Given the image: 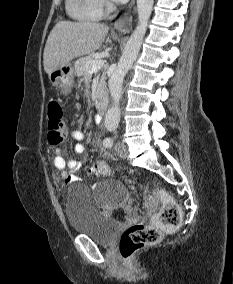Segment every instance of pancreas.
Instances as JSON below:
<instances>
[{"instance_id": "cf45deb5", "label": "pancreas", "mask_w": 233, "mask_h": 284, "mask_svg": "<svg viewBox=\"0 0 233 284\" xmlns=\"http://www.w3.org/2000/svg\"><path fill=\"white\" fill-rule=\"evenodd\" d=\"M97 58L94 56H86L83 58L78 59L75 62V71L78 77H86L89 75L90 66L87 64L90 61L96 60ZM97 101H105L106 100V85H105V74L102 73V76L97 85Z\"/></svg>"}]
</instances>
